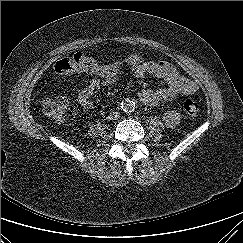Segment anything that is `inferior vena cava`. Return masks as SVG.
<instances>
[{"instance_id": "602c4592", "label": "inferior vena cava", "mask_w": 243, "mask_h": 243, "mask_svg": "<svg viewBox=\"0 0 243 243\" xmlns=\"http://www.w3.org/2000/svg\"><path fill=\"white\" fill-rule=\"evenodd\" d=\"M120 117V114L118 112H111L108 116L109 120H116Z\"/></svg>"}]
</instances>
